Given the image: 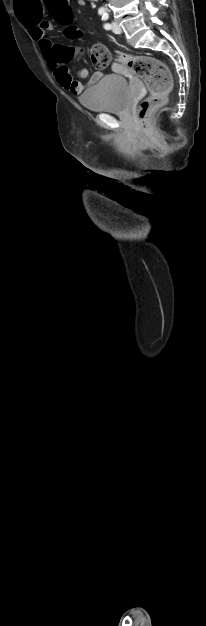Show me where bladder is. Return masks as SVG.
<instances>
[{"label":"bladder","instance_id":"1","mask_svg":"<svg viewBox=\"0 0 206 626\" xmlns=\"http://www.w3.org/2000/svg\"><path fill=\"white\" fill-rule=\"evenodd\" d=\"M79 102L92 112H124L131 102V89L125 77L106 75L82 93Z\"/></svg>","mask_w":206,"mask_h":626}]
</instances>
